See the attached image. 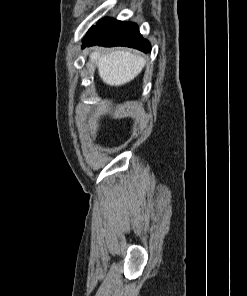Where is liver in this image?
Listing matches in <instances>:
<instances>
[{"label":"liver","instance_id":"liver-1","mask_svg":"<svg viewBox=\"0 0 247 296\" xmlns=\"http://www.w3.org/2000/svg\"><path fill=\"white\" fill-rule=\"evenodd\" d=\"M90 60L96 64L103 82L110 86H121L130 82L140 74L146 64L142 56L125 50L101 53L97 49L90 54Z\"/></svg>","mask_w":247,"mask_h":296}]
</instances>
